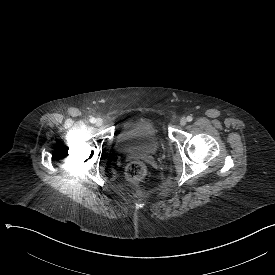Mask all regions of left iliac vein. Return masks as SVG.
Wrapping results in <instances>:
<instances>
[{
  "instance_id": "1",
  "label": "left iliac vein",
  "mask_w": 275,
  "mask_h": 275,
  "mask_svg": "<svg viewBox=\"0 0 275 275\" xmlns=\"http://www.w3.org/2000/svg\"><path fill=\"white\" fill-rule=\"evenodd\" d=\"M186 124H187L186 118H181V119H180V125H181V126H185Z\"/></svg>"
}]
</instances>
